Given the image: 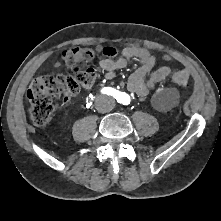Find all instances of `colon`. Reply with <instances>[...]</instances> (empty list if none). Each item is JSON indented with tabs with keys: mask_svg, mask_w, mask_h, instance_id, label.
Returning <instances> with one entry per match:
<instances>
[{
	"mask_svg": "<svg viewBox=\"0 0 221 221\" xmlns=\"http://www.w3.org/2000/svg\"><path fill=\"white\" fill-rule=\"evenodd\" d=\"M116 50L113 46L99 45L96 47H72L63 52L64 62L71 67L69 74L45 75L36 78L28 91L30 102V117L34 125H46L53 114V101L62 99L68 101L84 90L90 89L96 80L93 69L84 66L93 59L113 56ZM171 82L186 86L190 81L186 70L171 74Z\"/></svg>",
	"mask_w": 221,
	"mask_h": 221,
	"instance_id": "colon-1",
	"label": "colon"
}]
</instances>
